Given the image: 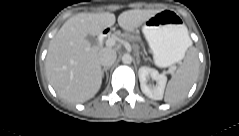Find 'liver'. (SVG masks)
Returning a JSON list of instances; mask_svg holds the SVG:
<instances>
[{
    "mask_svg": "<svg viewBox=\"0 0 239 136\" xmlns=\"http://www.w3.org/2000/svg\"><path fill=\"white\" fill-rule=\"evenodd\" d=\"M159 10H128L118 16L119 26L133 31ZM113 13H79L69 18L50 41L45 68L56 93L71 103L93 98L102 83L99 52L86 39L96 36L115 24Z\"/></svg>",
    "mask_w": 239,
    "mask_h": 136,
    "instance_id": "6515ba94",
    "label": "liver"
}]
</instances>
